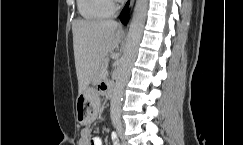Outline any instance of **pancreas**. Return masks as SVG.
Instances as JSON below:
<instances>
[{
    "label": "pancreas",
    "instance_id": "cf45deb5",
    "mask_svg": "<svg viewBox=\"0 0 243 145\" xmlns=\"http://www.w3.org/2000/svg\"><path fill=\"white\" fill-rule=\"evenodd\" d=\"M107 67H108V62L106 60H103L101 63H100V66H99V69H98V72L95 76L96 80H101L102 78H104L107 74Z\"/></svg>",
    "mask_w": 243,
    "mask_h": 145
}]
</instances>
